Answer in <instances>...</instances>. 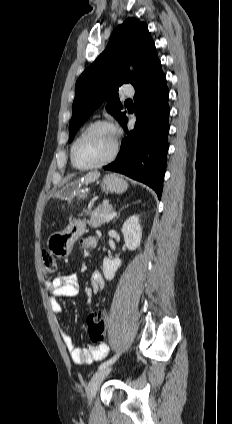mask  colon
I'll use <instances>...</instances> for the list:
<instances>
[{"label": "colon", "instance_id": "1", "mask_svg": "<svg viewBox=\"0 0 232 424\" xmlns=\"http://www.w3.org/2000/svg\"><path fill=\"white\" fill-rule=\"evenodd\" d=\"M42 263L46 273H53L56 270V259L48 252H42ZM88 335L92 342L100 343L105 338V311L97 310L87 316L86 319Z\"/></svg>", "mask_w": 232, "mask_h": 424}]
</instances>
